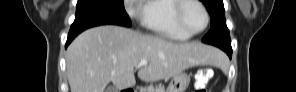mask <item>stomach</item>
I'll return each mask as SVG.
<instances>
[{"instance_id": "obj_1", "label": "stomach", "mask_w": 296, "mask_h": 92, "mask_svg": "<svg viewBox=\"0 0 296 92\" xmlns=\"http://www.w3.org/2000/svg\"><path fill=\"white\" fill-rule=\"evenodd\" d=\"M189 83L190 77L182 72L173 77L166 92H185Z\"/></svg>"}]
</instances>
